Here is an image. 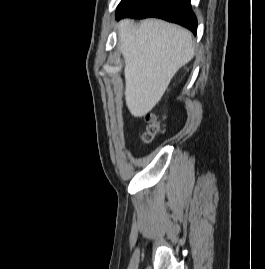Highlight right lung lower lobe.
Instances as JSON below:
<instances>
[{
	"instance_id": "98d812e1",
	"label": "right lung lower lobe",
	"mask_w": 265,
	"mask_h": 269,
	"mask_svg": "<svg viewBox=\"0 0 265 269\" xmlns=\"http://www.w3.org/2000/svg\"><path fill=\"white\" fill-rule=\"evenodd\" d=\"M124 17H157L180 24L193 33L197 30V19L191 10L190 0H122L116 19Z\"/></svg>"
}]
</instances>
